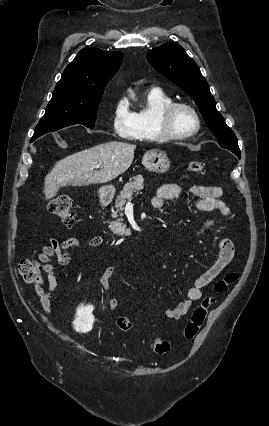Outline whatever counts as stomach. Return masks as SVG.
Masks as SVG:
<instances>
[{"mask_svg": "<svg viewBox=\"0 0 269 426\" xmlns=\"http://www.w3.org/2000/svg\"><path fill=\"white\" fill-rule=\"evenodd\" d=\"M142 164L144 167L156 173H164L170 168V161L163 151L151 150L145 153L142 159ZM115 189L112 185H104L100 188V194L102 195H112Z\"/></svg>", "mask_w": 269, "mask_h": 426, "instance_id": "1", "label": "stomach"}]
</instances>
